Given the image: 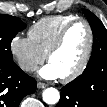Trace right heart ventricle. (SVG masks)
Masks as SVG:
<instances>
[{
	"instance_id": "1",
	"label": "right heart ventricle",
	"mask_w": 107,
	"mask_h": 107,
	"mask_svg": "<svg viewBox=\"0 0 107 107\" xmlns=\"http://www.w3.org/2000/svg\"><path fill=\"white\" fill-rule=\"evenodd\" d=\"M76 18L74 15H53L41 18L29 28V38L42 53L47 55L63 27Z\"/></svg>"
}]
</instances>
